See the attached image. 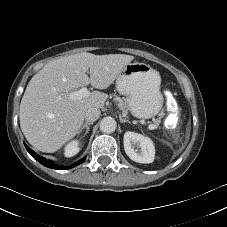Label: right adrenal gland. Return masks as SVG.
<instances>
[{"label":"right adrenal gland","mask_w":227,"mask_h":227,"mask_svg":"<svg viewBox=\"0 0 227 227\" xmlns=\"http://www.w3.org/2000/svg\"><path fill=\"white\" fill-rule=\"evenodd\" d=\"M93 123H91V122H86L81 128H80V130H79V132H78V135H80L81 133H82V131L84 130V129H86V131H85V134H84V136L83 137H85L86 135H87V133H88V131H89V126L90 125H92Z\"/></svg>","instance_id":"right-adrenal-gland-1"}]
</instances>
